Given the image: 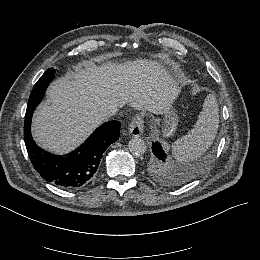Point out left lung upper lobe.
I'll return each instance as SVG.
<instances>
[{"label": "left lung upper lobe", "mask_w": 260, "mask_h": 260, "mask_svg": "<svg viewBox=\"0 0 260 260\" xmlns=\"http://www.w3.org/2000/svg\"><path fill=\"white\" fill-rule=\"evenodd\" d=\"M146 169L153 179L167 186H176L185 179L177 171L166 166L165 159L156 157L154 153L150 154V157L147 160Z\"/></svg>", "instance_id": "1"}]
</instances>
